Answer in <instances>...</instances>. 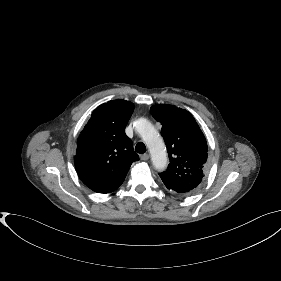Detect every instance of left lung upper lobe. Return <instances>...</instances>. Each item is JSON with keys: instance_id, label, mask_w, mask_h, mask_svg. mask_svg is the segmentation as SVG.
<instances>
[{"instance_id": "obj_1", "label": "left lung upper lobe", "mask_w": 281, "mask_h": 281, "mask_svg": "<svg viewBox=\"0 0 281 281\" xmlns=\"http://www.w3.org/2000/svg\"><path fill=\"white\" fill-rule=\"evenodd\" d=\"M151 113L162 124L161 134L170 159L160 178L173 193H195L209 168L207 142L201 129L192 114L173 105H154Z\"/></svg>"}]
</instances>
